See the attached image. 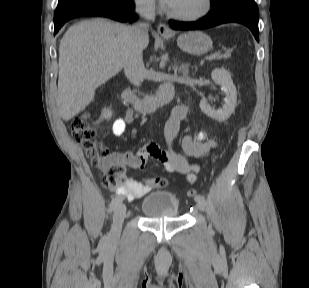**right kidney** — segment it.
Masks as SVG:
<instances>
[{
	"label": "right kidney",
	"mask_w": 309,
	"mask_h": 288,
	"mask_svg": "<svg viewBox=\"0 0 309 288\" xmlns=\"http://www.w3.org/2000/svg\"><path fill=\"white\" fill-rule=\"evenodd\" d=\"M112 116V111L109 108H104L101 114V117L103 119H109Z\"/></svg>",
	"instance_id": "ca27d5eb"
}]
</instances>
